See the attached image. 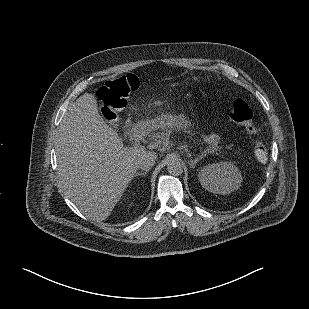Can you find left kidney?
Segmentation results:
<instances>
[{"instance_id":"1","label":"left kidney","mask_w":309,"mask_h":309,"mask_svg":"<svg viewBox=\"0 0 309 309\" xmlns=\"http://www.w3.org/2000/svg\"><path fill=\"white\" fill-rule=\"evenodd\" d=\"M202 187L214 194H229L237 190L242 183L240 170L231 162L212 163L199 171Z\"/></svg>"}]
</instances>
